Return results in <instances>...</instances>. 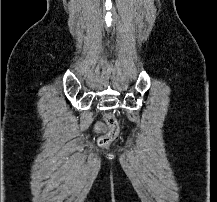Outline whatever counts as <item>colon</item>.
I'll list each match as a JSON object with an SVG mask.
<instances>
[{
	"instance_id": "1",
	"label": "colon",
	"mask_w": 217,
	"mask_h": 202,
	"mask_svg": "<svg viewBox=\"0 0 217 202\" xmlns=\"http://www.w3.org/2000/svg\"><path fill=\"white\" fill-rule=\"evenodd\" d=\"M103 118H105L107 124L110 128H112L111 133H107L106 137H97L96 141L98 144H101L102 146L108 145V142L112 141V138H116L117 134L120 133V125L117 124V121L114 119L112 114L103 115Z\"/></svg>"
}]
</instances>
